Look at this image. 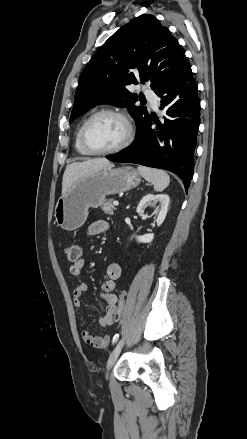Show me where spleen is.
Listing matches in <instances>:
<instances>
[{
	"mask_svg": "<svg viewBox=\"0 0 247 439\" xmlns=\"http://www.w3.org/2000/svg\"><path fill=\"white\" fill-rule=\"evenodd\" d=\"M137 169L145 180L153 184L154 190L157 192L163 191L170 183L169 175L163 170L144 166H138Z\"/></svg>",
	"mask_w": 247,
	"mask_h": 439,
	"instance_id": "1",
	"label": "spleen"
}]
</instances>
